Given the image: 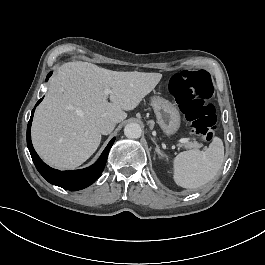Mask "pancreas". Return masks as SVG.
I'll use <instances>...</instances> for the list:
<instances>
[{
	"label": "pancreas",
	"instance_id": "pancreas-1",
	"mask_svg": "<svg viewBox=\"0 0 265 265\" xmlns=\"http://www.w3.org/2000/svg\"><path fill=\"white\" fill-rule=\"evenodd\" d=\"M183 145L186 148H194V149H198L202 146V144L198 143L197 141L184 143Z\"/></svg>",
	"mask_w": 265,
	"mask_h": 265
}]
</instances>
